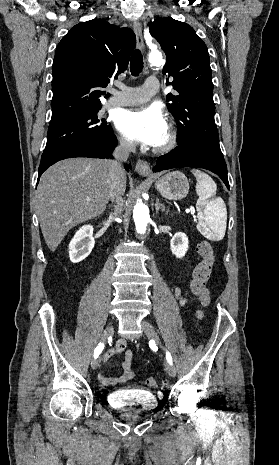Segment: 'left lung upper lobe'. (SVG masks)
I'll list each match as a JSON object with an SVG mask.
<instances>
[{
    "label": "left lung upper lobe",
    "mask_w": 279,
    "mask_h": 465,
    "mask_svg": "<svg viewBox=\"0 0 279 465\" xmlns=\"http://www.w3.org/2000/svg\"><path fill=\"white\" fill-rule=\"evenodd\" d=\"M165 51L163 74L172 76L177 95L169 93L168 110L178 125L177 144H195L223 155L214 120L213 83L208 49L194 29L171 17L149 24Z\"/></svg>",
    "instance_id": "left-lung-upper-lobe-1"
}]
</instances>
